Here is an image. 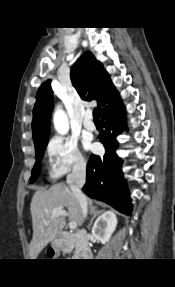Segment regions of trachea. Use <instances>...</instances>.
Instances as JSON below:
<instances>
[{
    "mask_svg": "<svg viewBox=\"0 0 175 287\" xmlns=\"http://www.w3.org/2000/svg\"><path fill=\"white\" fill-rule=\"evenodd\" d=\"M93 118H94V120H96V121H99V120H100V118H99V111H98L97 108H95V109L93 110Z\"/></svg>",
    "mask_w": 175,
    "mask_h": 287,
    "instance_id": "3493384b",
    "label": "trachea"
}]
</instances>
